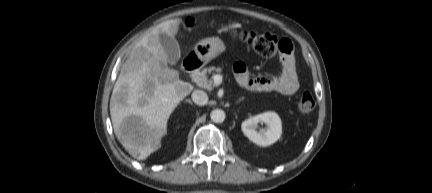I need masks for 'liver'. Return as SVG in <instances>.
<instances>
[{"mask_svg":"<svg viewBox=\"0 0 432 193\" xmlns=\"http://www.w3.org/2000/svg\"><path fill=\"white\" fill-rule=\"evenodd\" d=\"M181 21H164L144 36L123 64L113 88L110 115L115 135L138 160L160 148L170 115L193 89L167 66L168 56L158 38L161 32L174 37ZM129 118H136L138 124L125 134L121 126Z\"/></svg>","mask_w":432,"mask_h":193,"instance_id":"6515ba94","label":"liver"}]
</instances>
